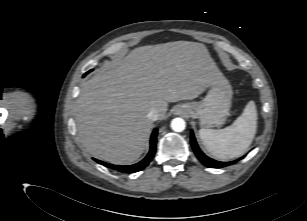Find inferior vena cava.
Masks as SVG:
<instances>
[{"label":"inferior vena cava","instance_id":"obj_1","mask_svg":"<svg viewBox=\"0 0 307 221\" xmlns=\"http://www.w3.org/2000/svg\"><path fill=\"white\" fill-rule=\"evenodd\" d=\"M147 117L151 120V121H156L159 119V112L156 109H152L148 112Z\"/></svg>","mask_w":307,"mask_h":221}]
</instances>
